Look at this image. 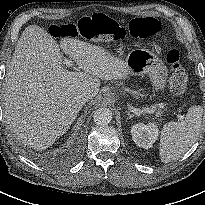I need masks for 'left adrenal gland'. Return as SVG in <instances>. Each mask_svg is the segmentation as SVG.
I'll return each mask as SVG.
<instances>
[{
	"mask_svg": "<svg viewBox=\"0 0 205 205\" xmlns=\"http://www.w3.org/2000/svg\"><path fill=\"white\" fill-rule=\"evenodd\" d=\"M127 115H128V117H127L128 120L133 118V117L138 116V115L131 114L129 111L127 112Z\"/></svg>",
	"mask_w": 205,
	"mask_h": 205,
	"instance_id": "obj_1",
	"label": "left adrenal gland"
}]
</instances>
